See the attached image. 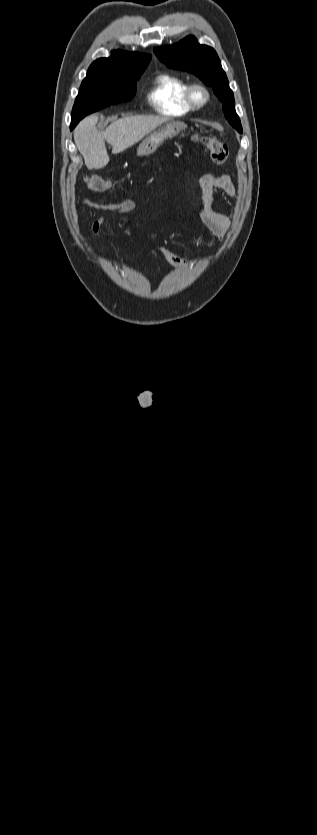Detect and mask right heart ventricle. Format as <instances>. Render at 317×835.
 Instances as JSON below:
<instances>
[{"mask_svg": "<svg viewBox=\"0 0 317 835\" xmlns=\"http://www.w3.org/2000/svg\"><path fill=\"white\" fill-rule=\"evenodd\" d=\"M187 87L188 82L184 78L170 73H161L153 80L147 99L160 114L184 115L193 110L185 98Z\"/></svg>", "mask_w": 317, "mask_h": 835, "instance_id": "1", "label": "right heart ventricle"}]
</instances>
